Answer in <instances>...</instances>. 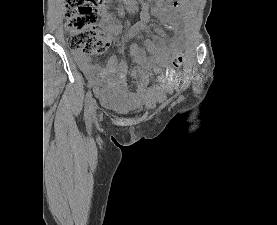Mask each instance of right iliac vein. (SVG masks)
Returning a JSON list of instances; mask_svg holds the SVG:
<instances>
[{
  "label": "right iliac vein",
  "mask_w": 277,
  "mask_h": 225,
  "mask_svg": "<svg viewBox=\"0 0 277 225\" xmlns=\"http://www.w3.org/2000/svg\"><path fill=\"white\" fill-rule=\"evenodd\" d=\"M92 116L95 117V106H94V104L92 105Z\"/></svg>",
  "instance_id": "1"
}]
</instances>
